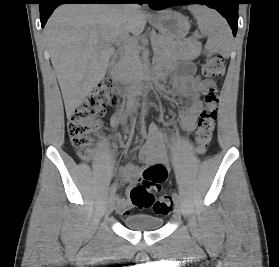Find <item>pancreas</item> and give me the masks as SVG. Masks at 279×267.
Segmentation results:
<instances>
[{"instance_id":"1","label":"pancreas","mask_w":279,"mask_h":267,"mask_svg":"<svg viewBox=\"0 0 279 267\" xmlns=\"http://www.w3.org/2000/svg\"><path fill=\"white\" fill-rule=\"evenodd\" d=\"M154 50L163 58L168 59H191L200 52V43L190 40L186 42H175L162 35L152 36ZM142 47L137 42H130L124 47V52L119 69L126 79H136L143 74V65L140 59Z\"/></svg>"}]
</instances>
